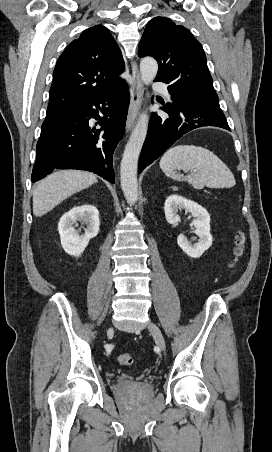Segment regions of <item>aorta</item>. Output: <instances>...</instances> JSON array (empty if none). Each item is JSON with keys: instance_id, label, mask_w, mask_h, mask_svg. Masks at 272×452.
<instances>
[{"instance_id": "1", "label": "aorta", "mask_w": 272, "mask_h": 452, "mask_svg": "<svg viewBox=\"0 0 272 452\" xmlns=\"http://www.w3.org/2000/svg\"><path fill=\"white\" fill-rule=\"evenodd\" d=\"M158 72L157 61L152 57H145L140 62L142 81L148 85ZM149 117L142 113L125 146L122 156L120 177L121 188L127 203L134 205L138 200L137 166L139 155L148 130Z\"/></svg>"}]
</instances>
